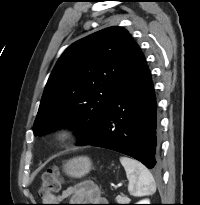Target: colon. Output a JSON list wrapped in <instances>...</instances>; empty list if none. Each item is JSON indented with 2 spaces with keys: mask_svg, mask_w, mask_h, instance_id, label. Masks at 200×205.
<instances>
[{
  "mask_svg": "<svg viewBox=\"0 0 200 205\" xmlns=\"http://www.w3.org/2000/svg\"><path fill=\"white\" fill-rule=\"evenodd\" d=\"M61 185L59 170L52 167L42 175L39 193L43 198L55 196L60 191Z\"/></svg>",
  "mask_w": 200,
  "mask_h": 205,
  "instance_id": "1",
  "label": "colon"
}]
</instances>
